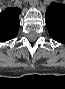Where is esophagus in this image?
Wrapping results in <instances>:
<instances>
[{
	"label": "esophagus",
	"mask_w": 65,
	"mask_h": 89,
	"mask_svg": "<svg viewBox=\"0 0 65 89\" xmlns=\"http://www.w3.org/2000/svg\"><path fill=\"white\" fill-rule=\"evenodd\" d=\"M37 0H30L29 1V4L31 5V6H36L37 5Z\"/></svg>",
	"instance_id": "1"
}]
</instances>
